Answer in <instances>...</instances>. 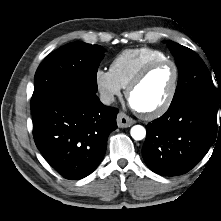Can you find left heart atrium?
<instances>
[{
	"instance_id": "left-heart-atrium-1",
	"label": "left heart atrium",
	"mask_w": 221,
	"mask_h": 221,
	"mask_svg": "<svg viewBox=\"0 0 221 221\" xmlns=\"http://www.w3.org/2000/svg\"><path fill=\"white\" fill-rule=\"evenodd\" d=\"M131 106L133 107V108H135V109H137L136 107H135V105L131 102Z\"/></svg>"
}]
</instances>
